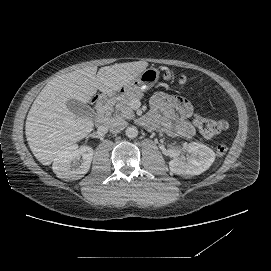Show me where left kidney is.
Here are the masks:
<instances>
[{
	"label": "left kidney",
	"mask_w": 271,
	"mask_h": 271,
	"mask_svg": "<svg viewBox=\"0 0 271 271\" xmlns=\"http://www.w3.org/2000/svg\"><path fill=\"white\" fill-rule=\"evenodd\" d=\"M189 156L177 155L169 162L172 172L181 176H195L206 171L215 160L214 151L199 142L189 143L186 147Z\"/></svg>",
	"instance_id": "obj_1"
}]
</instances>
